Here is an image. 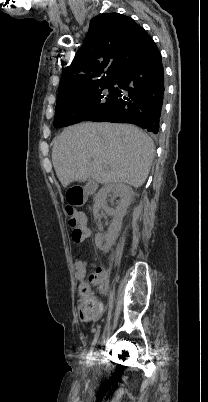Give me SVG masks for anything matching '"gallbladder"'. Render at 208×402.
<instances>
[{"label":"gallbladder","mask_w":208,"mask_h":402,"mask_svg":"<svg viewBox=\"0 0 208 402\" xmlns=\"http://www.w3.org/2000/svg\"><path fill=\"white\" fill-rule=\"evenodd\" d=\"M85 188L87 189V193H92V190H96L98 188V183L96 181H87L85 183Z\"/></svg>","instance_id":"bac80fb5"}]
</instances>
